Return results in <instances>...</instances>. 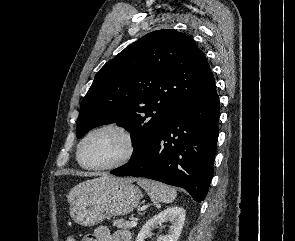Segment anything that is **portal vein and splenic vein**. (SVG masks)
Here are the masks:
<instances>
[{
  "label": "portal vein and splenic vein",
  "mask_w": 295,
  "mask_h": 241,
  "mask_svg": "<svg viewBox=\"0 0 295 241\" xmlns=\"http://www.w3.org/2000/svg\"><path fill=\"white\" fill-rule=\"evenodd\" d=\"M130 226L131 227H136L137 226V221L132 219L130 222H129Z\"/></svg>",
  "instance_id": "18ae733b"
}]
</instances>
